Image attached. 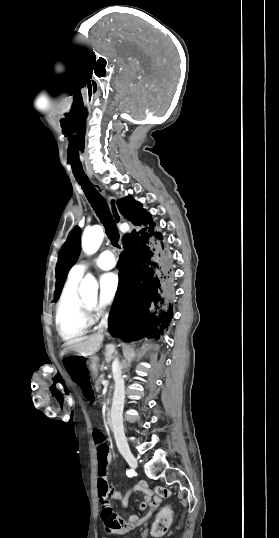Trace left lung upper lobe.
<instances>
[{"instance_id": "obj_1", "label": "left lung upper lobe", "mask_w": 279, "mask_h": 538, "mask_svg": "<svg viewBox=\"0 0 279 538\" xmlns=\"http://www.w3.org/2000/svg\"><path fill=\"white\" fill-rule=\"evenodd\" d=\"M81 229L75 226L67 241L62 246L56 265V285L54 301H57L70 268L76 263L80 254Z\"/></svg>"}]
</instances>
